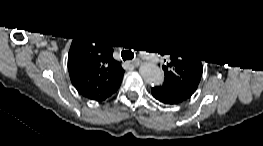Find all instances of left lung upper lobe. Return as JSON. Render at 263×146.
I'll return each mask as SVG.
<instances>
[{
  "mask_svg": "<svg viewBox=\"0 0 263 146\" xmlns=\"http://www.w3.org/2000/svg\"><path fill=\"white\" fill-rule=\"evenodd\" d=\"M152 52L164 58V82L171 83L186 97L196 91L202 76L201 57L179 33L167 31L153 36L148 42Z\"/></svg>",
  "mask_w": 263,
  "mask_h": 146,
  "instance_id": "5c2ea615",
  "label": "left lung upper lobe"
}]
</instances>
